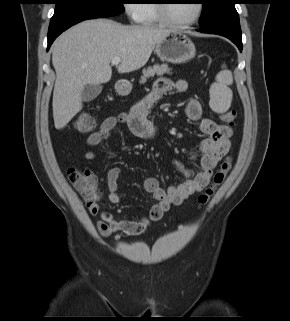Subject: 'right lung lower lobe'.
I'll list each match as a JSON object with an SVG mask.
<instances>
[{
    "instance_id": "obj_1",
    "label": "right lung lower lobe",
    "mask_w": 290,
    "mask_h": 321,
    "mask_svg": "<svg viewBox=\"0 0 290 321\" xmlns=\"http://www.w3.org/2000/svg\"><path fill=\"white\" fill-rule=\"evenodd\" d=\"M84 19H78V20H69V21H63V22H54L50 23L49 31H48V47L49 50L51 44L53 41L59 36L63 31L68 29L69 27L83 21Z\"/></svg>"
}]
</instances>
